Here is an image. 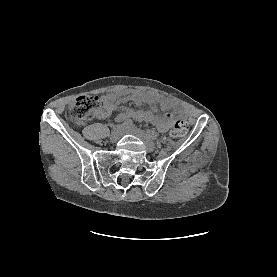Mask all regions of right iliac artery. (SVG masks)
<instances>
[{
	"label": "right iliac artery",
	"mask_w": 277,
	"mask_h": 277,
	"mask_svg": "<svg viewBox=\"0 0 277 277\" xmlns=\"http://www.w3.org/2000/svg\"><path fill=\"white\" fill-rule=\"evenodd\" d=\"M117 122H121V120H117ZM132 125H133V122H132L131 119H126V120H124V122H123V124H122L123 127H130V126H132Z\"/></svg>",
	"instance_id": "obj_1"
}]
</instances>
